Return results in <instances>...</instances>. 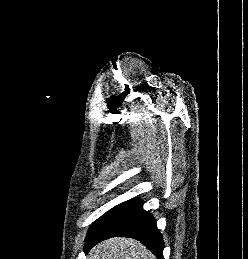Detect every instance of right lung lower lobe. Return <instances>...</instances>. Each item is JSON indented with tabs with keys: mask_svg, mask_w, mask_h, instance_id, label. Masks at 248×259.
<instances>
[{
	"mask_svg": "<svg viewBox=\"0 0 248 259\" xmlns=\"http://www.w3.org/2000/svg\"><path fill=\"white\" fill-rule=\"evenodd\" d=\"M130 237L141 241L158 259L163 258L164 243L153 216L144 211L142 201H125L107 212L97 227L87 236L84 252L110 237Z\"/></svg>",
	"mask_w": 248,
	"mask_h": 259,
	"instance_id": "obj_1",
	"label": "right lung lower lobe"
}]
</instances>
